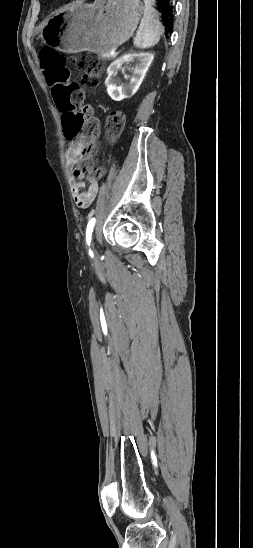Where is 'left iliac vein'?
<instances>
[{"mask_svg": "<svg viewBox=\"0 0 253 548\" xmlns=\"http://www.w3.org/2000/svg\"><path fill=\"white\" fill-rule=\"evenodd\" d=\"M92 247H93V250L95 251V249H94V244H93V243H92ZM95 253H96V251H95Z\"/></svg>", "mask_w": 253, "mask_h": 548, "instance_id": "1", "label": "left iliac vein"}]
</instances>
